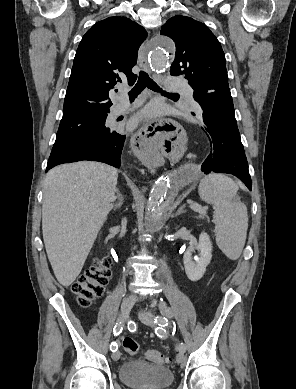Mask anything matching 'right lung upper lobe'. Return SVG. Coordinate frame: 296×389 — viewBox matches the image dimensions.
<instances>
[{"label": "right lung upper lobe", "mask_w": 296, "mask_h": 389, "mask_svg": "<svg viewBox=\"0 0 296 389\" xmlns=\"http://www.w3.org/2000/svg\"><path fill=\"white\" fill-rule=\"evenodd\" d=\"M146 30L125 17L97 22L83 36L76 51L66 91L63 117L79 113H108L109 91L127 79L134 83L137 61Z\"/></svg>", "instance_id": "cb5924a9"}]
</instances>
